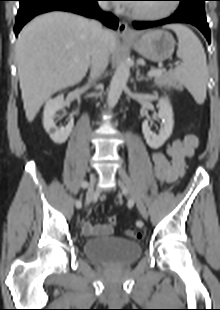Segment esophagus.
<instances>
[{
	"instance_id": "1",
	"label": "esophagus",
	"mask_w": 220,
	"mask_h": 310,
	"mask_svg": "<svg viewBox=\"0 0 220 310\" xmlns=\"http://www.w3.org/2000/svg\"><path fill=\"white\" fill-rule=\"evenodd\" d=\"M117 33L121 37H131L133 35L131 29L126 22H120Z\"/></svg>"
}]
</instances>
